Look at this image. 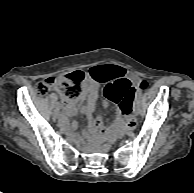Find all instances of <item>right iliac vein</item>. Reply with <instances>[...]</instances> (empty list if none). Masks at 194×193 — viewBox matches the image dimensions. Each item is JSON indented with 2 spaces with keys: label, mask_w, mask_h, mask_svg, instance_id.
Instances as JSON below:
<instances>
[{
  "label": "right iliac vein",
  "mask_w": 194,
  "mask_h": 193,
  "mask_svg": "<svg viewBox=\"0 0 194 193\" xmlns=\"http://www.w3.org/2000/svg\"><path fill=\"white\" fill-rule=\"evenodd\" d=\"M58 119H59V120H62L63 118H62V117H60V116H58Z\"/></svg>",
  "instance_id": "1"
}]
</instances>
